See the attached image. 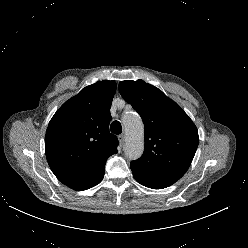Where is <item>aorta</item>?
I'll use <instances>...</instances> for the list:
<instances>
[{"instance_id": "obj_1", "label": "aorta", "mask_w": 248, "mask_h": 248, "mask_svg": "<svg viewBox=\"0 0 248 248\" xmlns=\"http://www.w3.org/2000/svg\"><path fill=\"white\" fill-rule=\"evenodd\" d=\"M122 123L126 135L124 151L130 159L139 158L144 150V127L136 112L123 115Z\"/></svg>"}]
</instances>
